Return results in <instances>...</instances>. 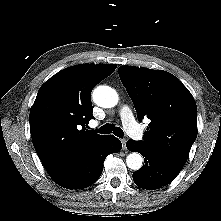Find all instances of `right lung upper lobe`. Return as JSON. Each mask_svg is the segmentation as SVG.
Listing matches in <instances>:
<instances>
[{
    "label": "right lung upper lobe",
    "instance_id": "1",
    "mask_svg": "<svg viewBox=\"0 0 221 221\" xmlns=\"http://www.w3.org/2000/svg\"><path fill=\"white\" fill-rule=\"evenodd\" d=\"M115 69L116 64L72 66L52 76L39 89L30 110V132L37 155L50 176L107 136L85 126L93 118V87Z\"/></svg>",
    "mask_w": 221,
    "mask_h": 221
}]
</instances>
